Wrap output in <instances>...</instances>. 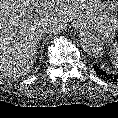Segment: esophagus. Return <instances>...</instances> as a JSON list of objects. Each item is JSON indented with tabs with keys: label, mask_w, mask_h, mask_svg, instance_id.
<instances>
[{
	"label": "esophagus",
	"mask_w": 118,
	"mask_h": 118,
	"mask_svg": "<svg viewBox=\"0 0 118 118\" xmlns=\"http://www.w3.org/2000/svg\"><path fill=\"white\" fill-rule=\"evenodd\" d=\"M74 27L79 28L80 27V23L75 22Z\"/></svg>",
	"instance_id": "34e87169"
}]
</instances>
